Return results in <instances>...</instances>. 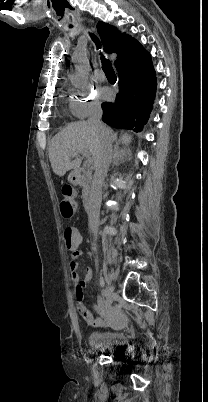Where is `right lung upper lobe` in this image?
<instances>
[{
    "instance_id": "obj_1",
    "label": "right lung upper lobe",
    "mask_w": 208,
    "mask_h": 402,
    "mask_svg": "<svg viewBox=\"0 0 208 402\" xmlns=\"http://www.w3.org/2000/svg\"><path fill=\"white\" fill-rule=\"evenodd\" d=\"M98 32L101 37L104 50L107 53H117L120 55L128 43L132 40L129 35L120 34L113 26L104 22H99Z\"/></svg>"
}]
</instances>
